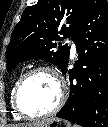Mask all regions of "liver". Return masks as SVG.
Listing matches in <instances>:
<instances>
[{
    "label": "liver",
    "instance_id": "obj_1",
    "mask_svg": "<svg viewBox=\"0 0 108 127\" xmlns=\"http://www.w3.org/2000/svg\"><path fill=\"white\" fill-rule=\"evenodd\" d=\"M53 120H54L53 118L38 120L34 123L19 125V127H43V126L49 124L50 122H52Z\"/></svg>",
    "mask_w": 108,
    "mask_h": 127
}]
</instances>
